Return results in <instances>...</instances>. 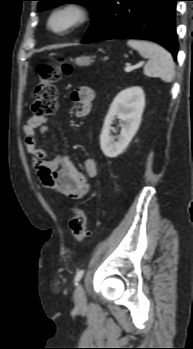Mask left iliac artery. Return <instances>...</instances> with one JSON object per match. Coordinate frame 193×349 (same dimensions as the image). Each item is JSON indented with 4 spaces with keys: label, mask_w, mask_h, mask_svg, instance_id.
Returning <instances> with one entry per match:
<instances>
[{
    "label": "left iliac artery",
    "mask_w": 193,
    "mask_h": 349,
    "mask_svg": "<svg viewBox=\"0 0 193 349\" xmlns=\"http://www.w3.org/2000/svg\"><path fill=\"white\" fill-rule=\"evenodd\" d=\"M83 275H84V269H81L76 273L75 279H74L75 285L78 284V282L80 281V279L82 278Z\"/></svg>",
    "instance_id": "44dca946"
}]
</instances>
